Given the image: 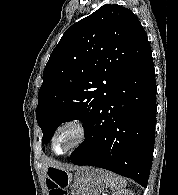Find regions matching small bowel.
Masks as SVG:
<instances>
[{
	"label": "small bowel",
	"mask_w": 178,
	"mask_h": 195,
	"mask_svg": "<svg viewBox=\"0 0 178 195\" xmlns=\"http://www.w3.org/2000/svg\"><path fill=\"white\" fill-rule=\"evenodd\" d=\"M49 190H50V195H62L61 192L53 189L52 187H49Z\"/></svg>",
	"instance_id": "c3829d8e"
}]
</instances>
